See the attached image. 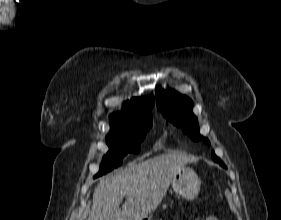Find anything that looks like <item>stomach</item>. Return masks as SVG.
Returning <instances> with one entry per match:
<instances>
[{"instance_id":"stomach-1","label":"stomach","mask_w":281,"mask_h":220,"mask_svg":"<svg viewBox=\"0 0 281 220\" xmlns=\"http://www.w3.org/2000/svg\"><path fill=\"white\" fill-rule=\"evenodd\" d=\"M172 187L177 195L192 200L199 193L200 180L194 170L184 167L174 175Z\"/></svg>"}]
</instances>
